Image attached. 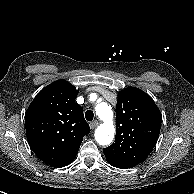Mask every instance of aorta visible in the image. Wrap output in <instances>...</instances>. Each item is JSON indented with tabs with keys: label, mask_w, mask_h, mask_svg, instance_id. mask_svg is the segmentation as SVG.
I'll return each mask as SVG.
<instances>
[{
	"label": "aorta",
	"mask_w": 194,
	"mask_h": 194,
	"mask_svg": "<svg viewBox=\"0 0 194 194\" xmlns=\"http://www.w3.org/2000/svg\"><path fill=\"white\" fill-rule=\"evenodd\" d=\"M95 110L98 117L103 121L95 130V140L100 145H110L115 133L111 107L107 103L101 102L96 105Z\"/></svg>",
	"instance_id": "aorta-1"
}]
</instances>
